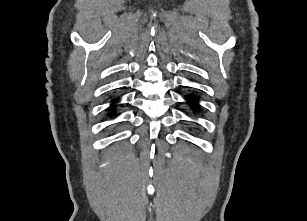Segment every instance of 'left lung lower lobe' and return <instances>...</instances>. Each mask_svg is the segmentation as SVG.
<instances>
[{
    "label": "left lung lower lobe",
    "mask_w": 307,
    "mask_h": 221,
    "mask_svg": "<svg viewBox=\"0 0 307 221\" xmlns=\"http://www.w3.org/2000/svg\"><path fill=\"white\" fill-rule=\"evenodd\" d=\"M188 100L192 105H195L197 103V99L194 96H191Z\"/></svg>",
    "instance_id": "left-lung-lower-lobe-1"
}]
</instances>
